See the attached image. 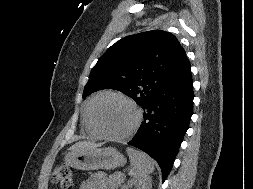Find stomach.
Returning a JSON list of instances; mask_svg holds the SVG:
<instances>
[{
  "instance_id": "obj_1",
  "label": "stomach",
  "mask_w": 253,
  "mask_h": 189,
  "mask_svg": "<svg viewBox=\"0 0 253 189\" xmlns=\"http://www.w3.org/2000/svg\"><path fill=\"white\" fill-rule=\"evenodd\" d=\"M64 160L78 170L114 169L126 163L124 156L113 147L71 151Z\"/></svg>"
}]
</instances>
